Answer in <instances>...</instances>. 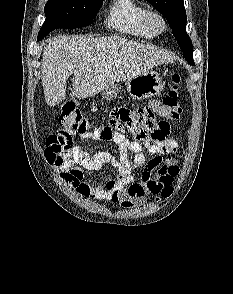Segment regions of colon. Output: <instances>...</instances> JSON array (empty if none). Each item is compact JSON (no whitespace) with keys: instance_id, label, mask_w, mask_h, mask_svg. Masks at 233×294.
<instances>
[{"instance_id":"colon-1","label":"colon","mask_w":233,"mask_h":294,"mask_svg":"<svg viewBox=\"0 0 233 294\" xmlns=\"http://www.w3.org/2000/svg\"><path fill=\"white\" fill-rule=\"evenodd\" d=\"M172 82L173 84L170 90L157 107V110H161L160 116L164 118V120H176L182 113L181 98L178 90L180 75L178 73L172 76ZM110 121H114V118ZM57 122L60 126V130L54 135L52 145L46 153L48 159L70 157L74 151L73 137L76 134L84 135L90 131L89 121L82 114L81 110L71 103H65L61 106L57 116ZM101 127L106 128V125ZM112 130L122 131V129ZM171 193L172 188H164L159 193V198H167Z\"/></svg>"}]
</instances>
